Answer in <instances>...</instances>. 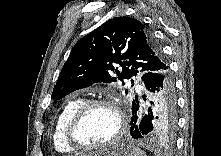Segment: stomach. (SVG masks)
<instances>
[{
  "instance_id": "1",
  "label": "stomach",
  "mask_w": 221,
  "mask_h": 156,
  "mask_svg": "<svg viewBox=\"0 0 221 156\" xmlns=\"http://www.w3.org/2000/svg\"><path fill=\"white\" fill-rule=\"evenodd\" d=\"M89 156H136V150L130 143L122 142Z\"/></svg>"
}]
</instances>
